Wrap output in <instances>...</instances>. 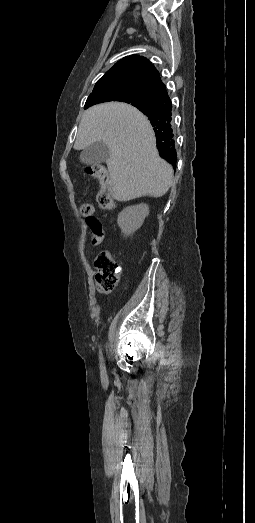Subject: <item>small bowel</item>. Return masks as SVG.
Returning a JSON list of instances; mask_svg holds the SVG:
<instances>
[{
  "label": "small bowel",
  "instance_id": "obj_1",
  "mask_svg": "<svg viewBox=\"0 0 255 523\" xmlns=\"http://www.w3.org/2000/svg\"><path fill=\"white\" fill-rule=\"evenodd\" d=\"M87 225L91 231V244L94 246L101 244L103 240V227L101 222L93 218L87 221Z\"/></svg>",
  "mask_w": 255,
  "mask_h": 523
}]
</instances>
